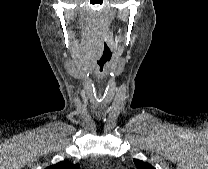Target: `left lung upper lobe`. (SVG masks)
Instances as JSON below:
<instances>
[{"label": "left lung upper lobe", "instance_id": "left-lung-upper-lobe-1", "mask_svg": "<svg viewBox=\"0 0 208 169\" xmlns=\"http://www.w3.org/2000/svg\"><path fill=\"white\" fill-rule=\"evenodd\" d=\"M133 161L138 169H155L151 164L147 162L138 159H133Z\"/></svg>", "mask_w": 208, "mask_h": 169}]
</instances>
